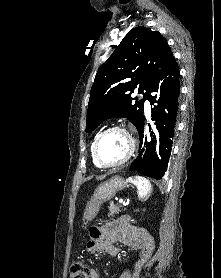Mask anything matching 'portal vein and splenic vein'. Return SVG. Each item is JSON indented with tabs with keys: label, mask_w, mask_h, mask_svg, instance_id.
Instances as JSON below:
<instances>
[{
	"label": "portal vein and splenic vein",
	"mask_w": 221,
	"mask_h": 278,
	"mask_svg": "<svg viewBox=\"0 0 221 278\" xmlns=\"http://www.w3.org/2000/svg\"><path fill=\"white\" fill-rule=\"evenodd\" d=\"M119 202H120L121 204H124V203H125V202L123 201V199H120Z\"/></svg>",
	"instance_id": "1"
}]
</instances>
